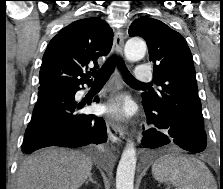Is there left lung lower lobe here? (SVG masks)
I'll list each match as a JSON object with an SVG mask.
<instances>
[{
    "mask_svg": "<svg viewBox=\"0 0 223 189\" xmlns=\"http://www.w3.org/2000/svg\"><path fill=\"white\" fill-rule=\"evenodd\" d=\"M143 106L148 124L152 125L151 128L143 132V147L155 149L174 143L192 153H200L206 149L207 137L203 128L170 122L162 112L156 111L145 104Z\"/></svg>",
    "mask_w": 223,
    "mask_h": 189,
    "instance_id": "left-lung-lower-lobe-1",
    "label": "left lung lower lobe"
}]
</instances>
